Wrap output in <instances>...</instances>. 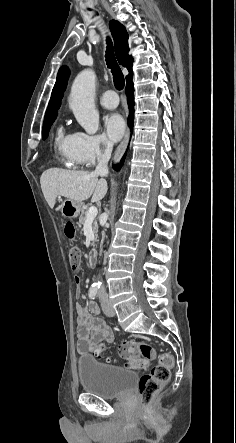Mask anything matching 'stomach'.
<instances>
[{
  "label": "stomach",
  "instance_id": "0dacf381",
  "mask_svg": "<svg viewBox=\"0 0 236 443\" xmlns=\"http://www.w3.org/2000/svg\"><path fill=\"white\" fill-rule=\"evenodd\" d=\"M60 209L64 217L70 219L76 218L83 210V203L66 199L62 202Z\"/></svg>",
  "mask_w": 236,
  "mask_h": 443
}]
</instances>
